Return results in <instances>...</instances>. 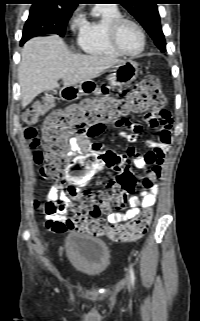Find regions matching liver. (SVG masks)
<instances>
[{
    "label": "liver",
    "mask_w": 200,
    "mask_h": 321,
    "mask_svg": "<svg viewBox=\"0 0 200 321\" xmlns=\"http://www.w3.org/2000/svg\"><path fill=\"white\" fill-rule=\"evenodd\" d=\"M122 60L101 55L72 54L58 36L36 37L21 51L18 80L25 107L44 91L90 81Z\"/></svg>",
    "instance_id": "6515ba94"
}]
</instances>
